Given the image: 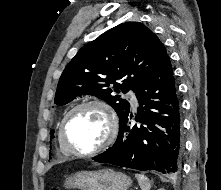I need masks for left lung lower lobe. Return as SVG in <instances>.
<instances>
[{"mask_svg": "<svg viewBox=\"0 0 221 190\" xmlns=\"http://www.w3.org/2000/svg\"><path fill=\"white\" fill-rule=\"evenodd\" d=\"M140 107L131 125L130 111L120 120L116 142L93 157L140 171L156 170L177 175L183 151L180 103L169 56L143 81L135 92Z\"/></svg>", "mask_w": 221, "mask_h": 190, "instance_id": "obj_1", "label": "left lung lower lobe"}]
</instances>
